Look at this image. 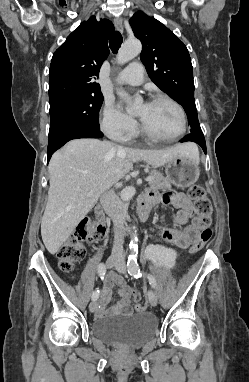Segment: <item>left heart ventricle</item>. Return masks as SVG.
<instances>
[{
    "instance_id": "b2bd125f",
    "label": "left heart ventricle",
    "mask_w": 249,
    "mask_h": 382,
    "mask_svg": "<svg viewBox=\"0 0 249 382\" xmlns=\"http://www.w3.org/2000/svg\"><path fill=\"white\" fill-rule=\"evenodd\" d=\"M142 123L160 137H173L181 130V119L174 106L167 102L141 105L137 110Z\"/></svg>"
}]
</instances>
